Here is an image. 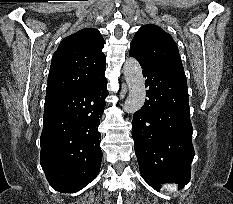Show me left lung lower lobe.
I'll return each instance as SVG.
<instances>
[{
    "label": "left lung lower lobe",
    "mask_w": 233,
    "mask_h": 204,
    "mask_svg": "<svg viewBox=\"0 0 233 204\" xmlns=\"http://www.w3.org/2000/svg\"><path fill=\"white\" fill-rule=\"evenodd\" d=\"M136 59L149 88L144 106L132 120L141 175L156 190L161 183L185 185L194 157L186 76Z\"/></svg>",
    "instance_id": "0a47b994"
}]
</instances>
